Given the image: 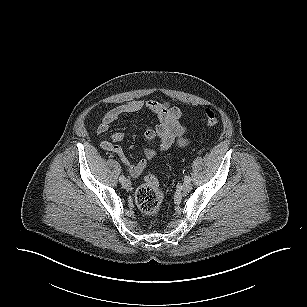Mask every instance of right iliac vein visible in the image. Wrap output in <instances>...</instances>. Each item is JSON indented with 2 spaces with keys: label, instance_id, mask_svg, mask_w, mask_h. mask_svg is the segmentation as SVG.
I'll return each mask as SVG.
<instances>
[{
  "label": "right iliac vein",
  "instance_id": "obj_1",
  "mask_svg": "<svg viewBox=\"0 0 307 307\" xmlns=\"http://www.w3.org/2000/svg\"><path fill=\"white\" fill-rule=\"evenodd\" d=\"M122 186L126 189L130 188L131 187V182L129 180H124L122 182Z\"/></svg>",
  "mask_w": 307,
  "mask_h": 307
}]
</instances>
